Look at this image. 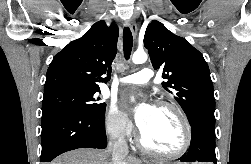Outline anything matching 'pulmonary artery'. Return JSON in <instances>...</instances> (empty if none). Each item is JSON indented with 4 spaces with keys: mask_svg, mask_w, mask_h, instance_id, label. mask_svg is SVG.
Returning <instances> with one entry per match:
<instances>
[{
    "mask_svg": "<svg viewBox=\"0 0 251 164\" xmlns=\"http://www.w3.org/2000/svg\"><path fill=\"white\" fill-rule=\"evenodd\" d=\"M154 73L149 68H144L137 73L124 76L120 79L121 84H147L153 79Z\"/></svg>",
    "mask_w": 251,
    "mask_h": 164,
    "instance_id": "obj_1",
    "label": "pulmonary artery"
}]
</instances>
